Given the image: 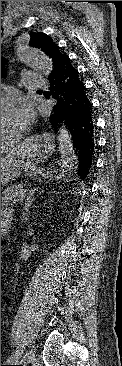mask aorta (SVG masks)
I'll return each instance as SVG.
<instances>
[{
	"label": "aorta",
	"mask_w": 122,
	"mask_h": 366,
	"mask_svg": "<svg viewBox=\"0 0 122 366\" xmlns=\"http://www.w3.org/2000/svg\"><path fill=\"white\" fill-rule=\"evenodd\" d=\"M17 59L25 66L40 71L45 76H51L53 71L52 59L41 49L19 44L16 48ZM58 169L64 171L74 166V145L72 135L65 121L58 123Z\"/></svg>",
	"instance_id": "obj_1"
}]
</instances>
